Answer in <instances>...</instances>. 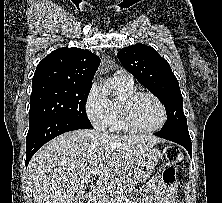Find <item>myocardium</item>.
I'll list each match as a JSON object with an SVG mask.
<instances>
[{"instance_id":"1","label":"myocardium","mask_w":222,"mask_h":203,"mask_svg":"<svg viewBox=\"0 0 222 203\" xmlns=\"http://www.w3.org/2000/svg\"><path fill=\"white\" fill-rule=\"evenodd\" d=\"M141 97H150L153 99L158 106L161 109L162 112V120L161 122L152 128H144L141 127L135 120L133 116V105L134 103L140 99ZM121 111H122V116L127 124V126L136 132H141V133H154L159 131L164 127V125L167 122V110L162 101L154 94L149 93V92H134L132 94L125 95L122 100H121Z\"/></svg>"}]
</instances>
